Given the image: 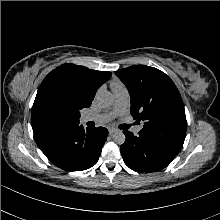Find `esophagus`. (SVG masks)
<instances>
[{
    "mask_svg": "<svg viewBox=\"0 0 220 220\" xmlns=\"http://www.w3.org/2000/svg\"><path fill=\"white\" fill-rule=\"evenodd\" d=\"M115 132H117V129H115V128H109V134L110 135H113Z\"/></svg>",
    "mask_w": 220,
    "mask_h": 220,
    "instance_id": "esophagus-1",
    "label": "esophagus"
}]
</instances>
